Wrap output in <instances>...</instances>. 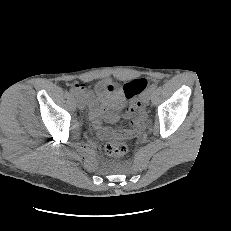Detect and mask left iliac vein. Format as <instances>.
Masks as SVG:
<instances>
[{"instance_id": "4c4485c4", "label": "left iliac vein", "mask_w": 231, "mask_h": 231, "mask_svg": "<svg viewBox=\"0 0 231 231\" xmlns=\"http://www.w3.org/2000/svg\"><path fill=\"white\" fill-rule=\"evenodd\" d=\"M151 95H152V90L148 88L143 94V97H142L143 102L148 103L151 98Z\"/></svg>"}]
</instances>
